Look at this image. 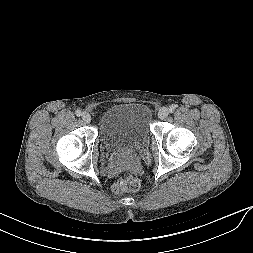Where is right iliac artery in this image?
<instances>
[{"instance_id":"1","label":"right iliac artery","mask_w":253,"mask_h":253,"mask_svg":"<svg viewBox=\"0 0 253 253\" xmlns=\"http://www.w3.org/2000/svg\"><path fill=\"white\" fill-rule=\"evenodd\" d=\"M76 116L80 117L82 115V112L80 110L75 111Z\"/></svg>"}]
</instances>
